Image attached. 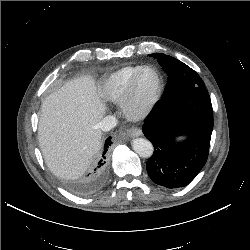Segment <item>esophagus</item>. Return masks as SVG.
Instances as JSON below:
<instances>
[{
  "label": "esophagus",
  "mask_w": 250,
  "mask_h": 250,
  "mask_svg": "<svg viewBox=\"0 0 250 250\" xmlns=\"http://www.w3.org/2000/svg\"><path fill=\"white\" fill-rule=\"evenodd\" d=\"M141 135H142V131L140 129H137V128H133V129H130L128 131V136H130V137H138Z\"/></svg>",
  "instance_id": "1"
}]
</instances>
